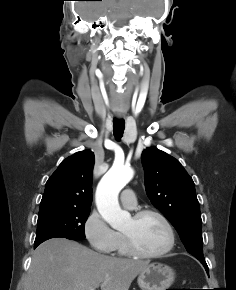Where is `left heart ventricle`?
Here are the masks:
<instances>
[{"label":"left heart ventricle","mask_w":236,"mask_h":290,"mask_svg":"<svg viewBox=\"0 0 236 290\" xmlns=\"http://www.w3.org/2000/svg\"><path fill=\"white\" fill-rule=\"evenodd\" d=\"M122 233L129 235L136 247L145 253L158 252L168 243V232L164 224L153 215L139 220L131 217Z\"/></svg>","instance_id":"obj_1"}]
</instances>
